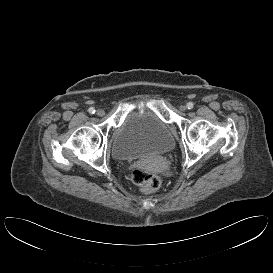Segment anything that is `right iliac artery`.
<instances>
[{
  "label": "right iliac artery",
  "instance_id": "obj_1",
  "mask_svg": "<svg viewBox=\"0 0 273 273\" xmlns=\"http://www.w3.org/2000/svg\"><path fill=\"white\" fill-rule=\"evenodd\" d=\"M88 111H89V113H91V114H94V113H95V109H94L93 107H90Z\"/></svg>",
  "mask_w": 273,
  "mask_h": 273
}]
</instances>
